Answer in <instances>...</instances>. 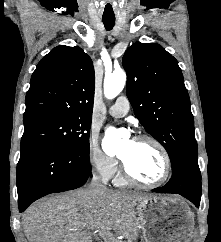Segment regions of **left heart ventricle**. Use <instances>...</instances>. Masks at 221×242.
<instances>
[{"instance_id":"1","label":"left heart ventricle","mask_w":221,"mask_h":242,"mask_svg":"<svg viewBox=\"0 0 221 242\" xmlns=\"http://www.w3.org/2000/svg\"><path fill=\"white\" fill-rule=\"evenodd\" d=\"M119 156L125 160L131 172L145 182H154L163 174L162 155L151 142L125 140Z\"/></svg>"}]
</instances>
